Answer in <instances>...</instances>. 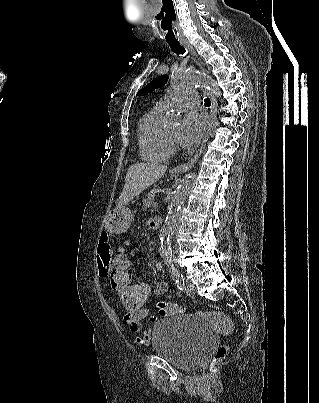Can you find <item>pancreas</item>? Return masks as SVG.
<instances>
[{"instance_id": "obj_1", "label": "pancreas", "mask_w": 319, "mask_h": 403, "mask_svg": "<svg viewBox=\"0 0 319 403\" xmlns=\"http://www.w3.org/2000/svg\"><path fill=\"white\" fill-rule=\"evenodd\" d=\"M154 203V196L151 194H148L147 198L144 199L143 207L144 209H147L151 207Z\"/></svg>"}]
</instances>
